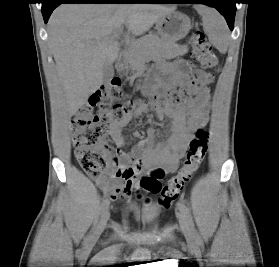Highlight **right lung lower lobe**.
<instances>
[{"mask_svg":"<svg viewBox=\"0 0 279 267\" xmlns=\"http://www.w3.org/2000/svg\"><path fill=\"white\" fill-rule=\"evenodd\" d=\"M148 0H44L42 2V14L47 23L53 10L62 3H145Z\"/></svg>","mask_w":279,"mask_h":267,"instance_id":"1","label":"right lung lower lobe"}]
</instances>
